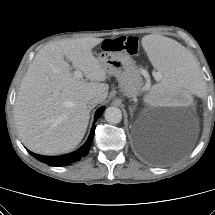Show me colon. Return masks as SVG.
<instances>
[{"label":"colon","instance_id":"colon-1","mask_svg":"<svg viewBox=\"0 0 215 215\" xmlns=\"http://www.w3.org/2000/svg\"><path fill=\"white\" fill-rule=\"evenodd\" d=\"M105 51L125 52L129 55H136L139 51V41L135 36H120L114 39L105 38L101 42Z\"/></svg>","mask_w":215,"mask_h":215}]
</instances>
